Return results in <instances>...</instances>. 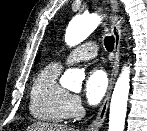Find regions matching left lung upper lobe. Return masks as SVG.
I'll return each mask as SVG.
<instances>
[{
	"mask_svg": "<svg viewBox=\"0 0 147 131\" xmlns=\"http://www.w3.org/2000/svg\"><path fill=\"white\" fill-rule=\"evenodd\" d=\"M39 59H40V53L38 54V56H37V59H36L35 63H37Z\"/></svg>",
	"mask_w": 147,
	"mask_h": 131,
	"instance_id": "obj_1",
	"label": "left lung upper lobe"
}]
</instances>
